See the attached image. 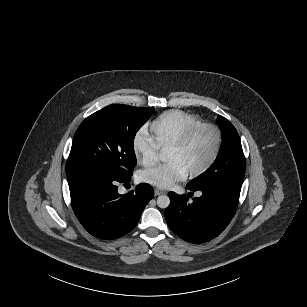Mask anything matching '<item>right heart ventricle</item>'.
I'll use <instances>...</instances> for the list:
<instances>
[{"label":"right heart ventricle","mask_w":307,"mask_h":307,"mask_svg":"<svg viewBox=\"0 0 307 307\" xmlns=\"http://www.w3.org/2000/svg\"><path fill=\"white\" fill-rule=\"evenodd\" d=\"M202 123L192 115L171 110L164 112L152 124V134L149 137L159 149L166 148L172 142L182 138L198 128Z\"/></svg>","instance_id":"right-heart-ventricle-1"}]
</instances>
